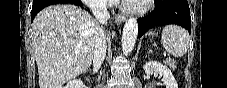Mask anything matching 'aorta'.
Segmentation results:
<instances>
[{
	"label": "aorta",
	"instance_id": "aorta-1",
	"mask_svg": "<svg viewBox=\"0 0 227 88\" xmlns=\"http://www.w3.org/2000/svg\"><path fill=\"white\" fill-rule=\"evenodd\" d=\"M138 34V23L135 18L126 21L122 34V50L125 55L132 52Z\"/></svg>",
	"mask_w": 227,
	"mask_h": 88
}]
</instances>
